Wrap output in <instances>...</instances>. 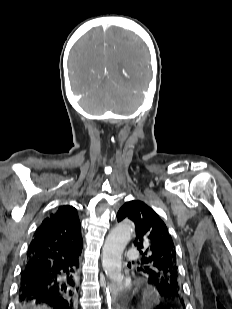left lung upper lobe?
Here are the masks:
<instances>
[{
  "label": "left lung upper lobe",
  "mask_w": 232,
  "mask_h": 309,
  "mask_svg": "<svg viewBox=\"0 0 232 309\" xmlns=\"http://www.w3.org/2000/svg\"><path fill=\"white\" fill-rule=\"evenodd\" d=\"M124 219H130L136 227L134 245L141 254L138 270L148 275V282L165 300L183 304L176 249L165 223L152 208L138 200L126 202L119 209L117 220Z\"/></svg>",
  "instance_id": "1"
}]
</instances>
